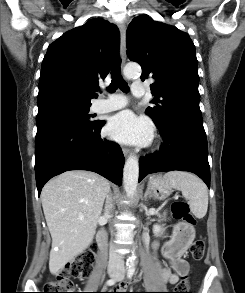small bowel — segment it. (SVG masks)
Wrapping results in <instances>:
<instances>
[{
  "label": "small bowel",
  "instance_id": "1",
  "mask_svg": "<svg viewBox=\"0 0 245 293\" xmlns=\"http://www.w3.org/2000/svg\"><path fill=\"white\" fill-rule=\"evenodd\" d=\"M159 244L154 243V248L158 249ZM162 255L169 263V268L158 264V270L162 276L164 282L168 285H174L178 282L179 278L187 275L189 271V264L186 260L180 257V251L177 249L173 240H168L162 250ZM122 289L127 288V284L124 283L121 286Z\"/></svg>",
  "mask_w": 245,
  "mask_h": 293
}]
</instances>
